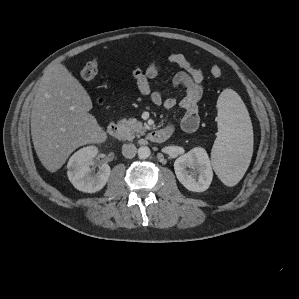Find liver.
I'll use <instances>...</instances> for the list:
<instances>
[{"label":"liver","mask_w":299,"mask_h":299,"mask_svg":"<svg viewBox=\"0 0 299 299\" xmlns=\"http://www.w3.org/2000/svg\"><path fill=\"white\" fill-rule=\"evenodd\" d=\"M91 109L89 94L64 65H53L44 73L34 96L31 135L48 171L59 170L78 147L106 140Z\"/></svg>","instance_id":"liver-1"}]
</instances>
